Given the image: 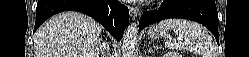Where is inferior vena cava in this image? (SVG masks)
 <instances>
[{"instance_id": "1", "label": "inferior vena cava", "mask_w": 249, "mask_h": 57, "mask_svg": "<svg viewBox=\"0 0 249 57\" xmlns=\"http://www.w3.org/2000/svg\"><path fill=\"white\" fill-rule=\"evenodd\" d=\"M103 54H105V55H103V57H106V53L103 51Z\"/></svg>"}]
</instances>
